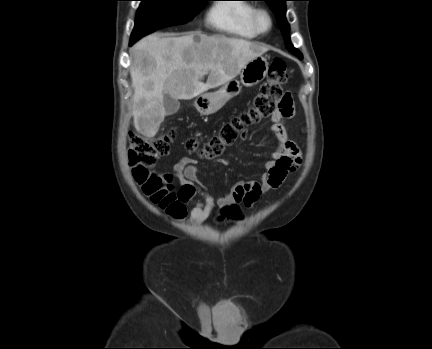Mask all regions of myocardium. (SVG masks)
Wrapping results in <instances>:
<instances>
[{
  "label": "myocardium",
  "mask_w": 432,
  "mask_h": 349,
  "mask_svg": "<svg viewBox=\"0 0 432 349\" xmlns=\"http://www.w3.org/2000/svg\"><path fill=\"white\" fill-rule=\"evenodd\" d=\"M263 18L267 21L266 27L261 24ZM252 25L258 34H266L273 27V17L267 9L256 8L252 14Z\"/></svg>",
  "instance_id": "obj_1"
}]
</instances>
